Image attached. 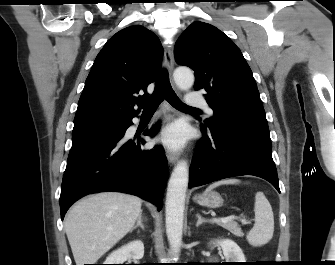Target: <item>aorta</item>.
I'll return each mask as SVG.
<instances>
[{
  "label": "aorta",
  "instance_id": "aorta-1",
  "mask_svg": "<svg viewBox=\"0 0 335 265\" xmlns=\"http://www.w3.org/2000/svg\"><path fill=\"white\" fill-rule=\"evenodd\" d=\"M174 80L182 90L194 84V74L189 68L178 67L174 71ZM189 181V168L186 161H180L171 174L166 194V233L170 248L178 253L182 246V231L186 191Z\"/></svg>",
  "mask_w": 335,
  "mask_h": 265
}]
</instances>
